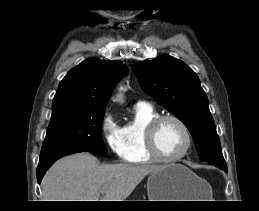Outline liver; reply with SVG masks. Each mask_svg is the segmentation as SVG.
I'll use <instances>...</instances> for the list:
<instances>
[{"mask_svg":"<svg viewBox=\"0 0 259 211\" xmlns=\"http://www.w3.org/2000/svg\"><path fill=\"white\" fill-rule=\"evenodd\" d=\"M162 167L101 165L88 152L66 156L58 160L42 180L44 201H124L145 176ZM102 190H105L103 197L100 196Z\"/></svg>","mask_w":259,"mask_h":211,"instance_id":"6515ba94","label":"liver"}]
</instances>
